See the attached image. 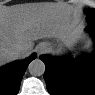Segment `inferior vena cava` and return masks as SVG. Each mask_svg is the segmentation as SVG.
<instances>
[{
    "mask_svg": "<svg viewBox=\"0 0 95 95\" xmlns=\"http://www.w3.org/2000/svg\"><path fill=\"white\" fill-rule=\"evenodd\" d=\"M13 55L17 58H20L23 55V49L21 46H17L14 50H13Z\"/></svg>",
    "mask_w": 95,
    "mask_h": 95,
    "instance_id": "602c4592",
    "label": "inferior vena cava"
}]
</instances>
